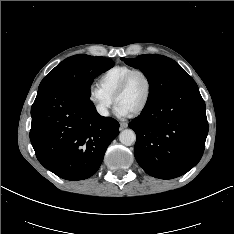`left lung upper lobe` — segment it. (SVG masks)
<instances>
[{
  "instance_id": "5c2ea615",
  "label": "left lung upper lobe",
  "mask_w": 234,
  "mask_h": 234,
  "mask_svg": "<svg viewBox=\"0 0 234 234\" xmlns=\"http://www.w3.org/2000/svg\"><path fill=\"white\" fill-rule=\"evenodd\" d=\"M121 60L140 69L148 79L150 93L144 109L152 107L175 89L194 82L177 62L166 56L146 54L137 58L122 57Z\"/></svg>"
}]
</instances>
